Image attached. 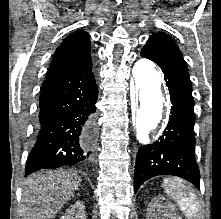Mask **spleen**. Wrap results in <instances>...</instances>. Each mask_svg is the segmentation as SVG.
<instances>
[{
    "instance_id": "3e777b00",
    "label": "spleen",
    "mask_w": 221,
    "mask_h": 219,
    "mask_svg": "<svg viewBox=\"0 0 221 219\" xmlns=\"http://www.w3.org/2000/svg\"><path fill=\"white\" fill-rule=\"evenodd\" d=\"M165 192L177 202L180 210L188 219H198L201 212L196 194L189 185L177 178H167L163 184Z\"/></svg>"
}]
</instances>
